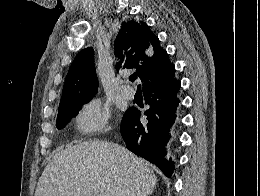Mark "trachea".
I'll list each match as a JSON object with an SVG mask.
<instances>
[{
    "label": "trachea",
    "mask_w": 260,
    "mask_h": 196,
    "mask_svg": "<svg viewBox=\"0 0 260 196\" xmlns=\"http://www.w3.org/2000/svg\"><path fill=\"white\" fill-rule=\"evenodd\" d=\"M137 79V74L136 73H132V75L129 76V80L130 81H135Z\"/></svg>",
    "instance_id": "1"
}]
</instances>
